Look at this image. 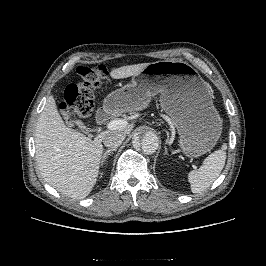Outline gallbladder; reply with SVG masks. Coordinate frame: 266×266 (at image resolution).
I'll return each instance as SVG.
<instances>
[{
  "mask_svg": "<svg viewBox=\"0 0 266 266\" xmlns=\"http://www.w3.org/2000/svg\"><path fill=\"white\" fill-rule=\"evenodd\" d=\"M78 127L82 130V132L86 133L87 129L81 125V123L79 121L76 122Z\"/></svg>",
  "mask_w": 266,
  "mask_h": 266,
  "instance_id": "bac80fb5",
  "label": "gallbladder"
}]
</instances>
